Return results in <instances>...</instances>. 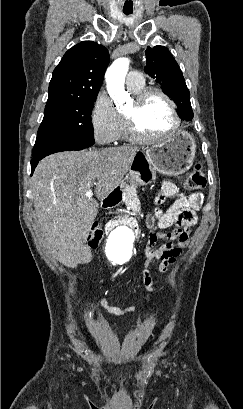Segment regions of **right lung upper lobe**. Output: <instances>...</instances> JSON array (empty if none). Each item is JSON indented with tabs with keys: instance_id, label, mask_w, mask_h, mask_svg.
Here are the masks:
<instances>
[{
	"instance_id": "right-lung-upper-lobe-1",
	"label": "right lung upper lobe",
	"mask_w": 243,
	"mask_h": 409,
	"mask_svg": "<svg viewBox=\"0 0 243 409\" xmlns=\"http://www.w3.org/2000/svg\"><path fill=\"white\" fill-rule=\"evenodd\" d=\"M108 63V50L98 43L73 46L54 69L47 102L96 99Z\"/></svg>"
}]
</instances>
